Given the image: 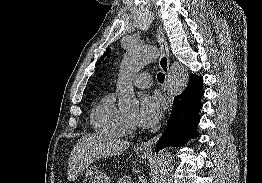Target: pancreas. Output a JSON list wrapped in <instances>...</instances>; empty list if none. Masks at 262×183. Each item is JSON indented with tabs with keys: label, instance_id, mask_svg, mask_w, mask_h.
<instances>
[{
	"label": "pancreas",
	"instance_id": "cf45deb5",
	"mask_svg": "<svg viewBox=\"0 0 262 183\" xmlns=\"http://www.w3.org/2000/svg\"><path fill=\"white\" fill-rule=\"evenodd\" d=\"M117 183H132L131 176H123L118 179Z\"/></svg>",
	"mask_w": 262,
	"mask_h": 183
}]
</instances>
